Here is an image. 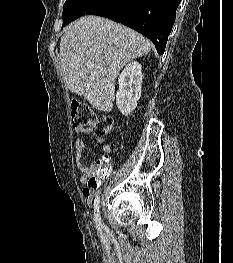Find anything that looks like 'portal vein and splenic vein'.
Here are the masks:
<instances>
[{
  "label": "portal vein and splenic vein",
  "mask_w": 233,
  "mask_h": 263,
  "mask_svg": "<svg viewBox=\"0 0 233 263\" xmlns=\"http://www.w3.org/2000/svg\"><path fill=\"white\" fill-rule=\"evenodd\" d=\"M88 66H93V63H89Z\"/></svg>",
  "instance_id": "portal-vein-and-splenic-vein-1"
}]
</instances>
